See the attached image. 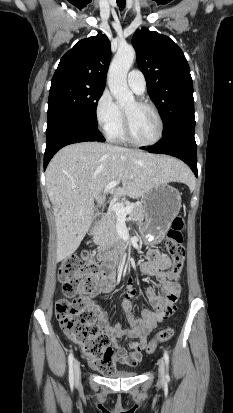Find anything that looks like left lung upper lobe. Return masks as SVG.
I'll list each match as a JSON object with an SVG mask.
<instances>
[{"mask_svg": "<svg viewBox=\"0 0 233 413\" xmlns=\"http://www.w3.org/2000/svg\"><path fill=\"white\" fill-rule=\"evenodd\" d=\"M132 42L149 94L160 110L164 132L178 124L195 125L193 83L180 47L146 28L137 31Z\"/></svg>", "mask_w": 233, "mask_h": 413, "instance_id": "left-lung-upper-lobe-1", "label": "left lung upper lobe"}]
</instances>
